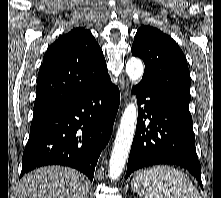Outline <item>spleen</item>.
I'll list each match as a JSON object with an SVG mask.
<instances>
[{
  "mask_svg": "<svg viewBox=\"0 0 221 198\" xmlns=\"http://www.w3.org/2000/svg\"><path fill=\"white\" fill-rule=\"evenodd\" d=\"M131 186L143 198H201L189 177L169 166L138 172Z\"/></svg>",
  "mask_w": 221,
  "mask_h": 198,
  "instance_id": "3e777b00",
  "label": "spleen"
}]
</instances>
